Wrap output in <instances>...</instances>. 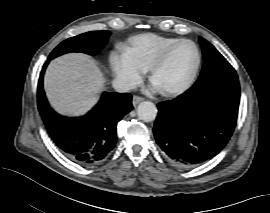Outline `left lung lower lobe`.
I'll use <instances>...</instances> for the list:
<instances>
[{"instance_id": "left-lung-lower-lobe-1", "label": "left lung lower lobe", "mask_w": 270, "mask_h": 213, "mask_svg": "<svg viewBox=\"0 0 270 213\" xmlns=\"http://www.w3.org/2000/svg\"><path fill=\"white\" fill-rule=\"evenodd\" d=\"M239 101V80L233 70L159 103L153 132L166 158L189 168L216 156L234 131Z\"/></svg>"}]
</instances>
